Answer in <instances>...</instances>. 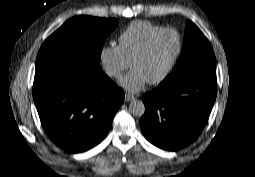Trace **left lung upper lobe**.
<instances>
[{"label": "left lung upper lobe", "instance_id": "obj_1", "mask_svg": "<svg viewBox=\"0 0 255 177\" xmlns=\"http://www.w3.org/2000/svg\"><path fill=\"white\" fill-rule=\"evenodd\" d=\"M204 68H216L213 49L200 29L193 22L188 21L179 61L162 84Z\"/></svg>", "mask_w": 255, "mask_h": 177}]
</instances>
